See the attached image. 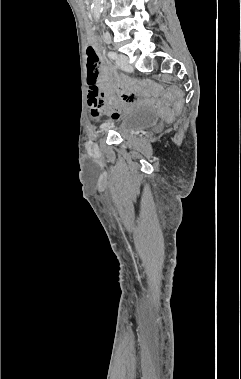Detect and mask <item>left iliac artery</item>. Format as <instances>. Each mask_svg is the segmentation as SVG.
Instances as JSON below:
<instances>
[{"label":"left iliac artery","instance_id":"obj_1","mask_svg":"<svg viewBox=\"0 0 241 379\" xmlns=\"http://www.w3.org/2000/svg\"><path fill=\"white\" fill-rule=\"evenodd\" d=\"M108 56H109L111 59H116V58H117V53H116V52H113V51H109V52H108Z\"/></svg>","mask_w":241,"mask_h":379}]
</instances>
